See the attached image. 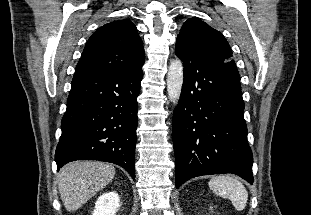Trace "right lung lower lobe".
Returning a JSON list of instances; mask_svg holds the SVG:
<instances>
[{
  "instance_id": "right-lung-lower-lobe-1",
  "label": "right lung lower lobe",
  "mask_w": 311,
  "mask_h": 215,
  "mask_svg": "<svg viewBox=\"0 0 311 215\" xmlns=\"http://www.w3.org/2000/svg\"><path fill=\"white\" fill-rule=\"evenodd\" d=\"M142 67L131 72L75 71L55 152L60 168L82 159L115 163L135 179L137 97Z\"/></svg>"
}]
</instances>
